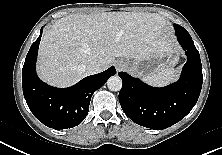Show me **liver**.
<instances>
[{
	"mask_svg": "<svg viewBox=\"0 0 222 155\" xmlns=\"http://www.w3.org/2000/svg\"><path fill=\"white\" fill-rule=\"evenodd\" d=\"M163 28V18L153 13L106 12L60 18L40 42L38 75L51 85L66 87L88 75L86 67L92 61L103 71L117 57L143 59Z\"/></svg>",
	"mask_w": 222,
	"mask_h": 155,
	"instance_id": "6515ba94",
	"label": "liver"
}]
</instances>
